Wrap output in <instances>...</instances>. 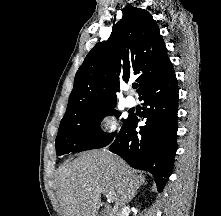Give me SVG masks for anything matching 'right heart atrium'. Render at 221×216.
I'll return each mask as SVG.
<instances>
[{
    "label": "right heart atrium",
    "instance_id": "obj_1",
    "mask_svg": "<svg viewBox=\"0 0 221 216\" xmlns=\"http://www.w3.org/2000/svg\"><path fill=\"white\" fill-rule=\"evenodd\" d=\"M99 132L103 134H112L117 131L118 122L113 114H105L100 117L97 123Z\"/></svg>",
    "mask_w": 221,
    "mask_h": 216
}]
</instances>
